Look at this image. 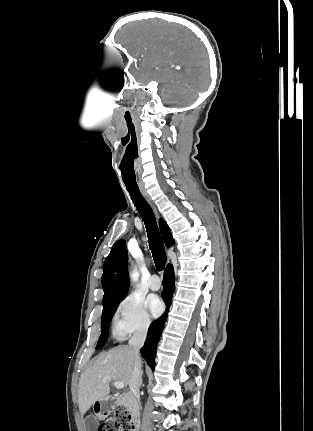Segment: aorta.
Segmentation results:
<instances>
[{
	"instance_id": "1",
	"label": "aorta",
	"mask_w": 313,
	"mask_h": 431,
	"mask_svg": "<svg viewBox=\"0 0 313 431\" xmlns=\"http://www.w3.org/2000/svg\"><path fill=\"white\" fill-rule=\"evenodd\" d=\"M130 278H131V280H132L133 282H137V281H138L139 273H138V271H137V269H136V268L132 271V273H131V275H130Z\"/></svg>"
}]
</instances>
